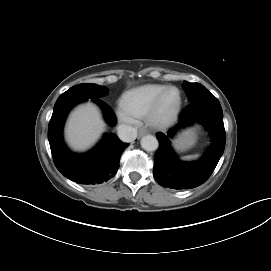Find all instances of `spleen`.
Instances as JSON below:
<instances>
[{"label":"spleen","mask_w":271,"mask_h":271,"mask_svg":"<svg viewBox=\"0 0 271 271\" xmlns=\"http://www.w3.org/2000/svg\"><path fill=\"white\" fill-rule=\"evenodd\" d=\"M197 157H198V155H189V156L183 157V160H191V159H195Z\"/></svg>","instance_id":"obj_1"}]
</instances>
